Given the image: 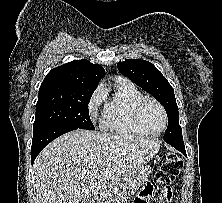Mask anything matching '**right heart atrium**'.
Segmentation results:
<instances>
[{
	"label": "right heart atrium",
	"instance_id": "d8ad5b80",
	"mask_svg": "<svg viewBox=\"0 0 222 203\" xmlns=\"http://www.w3.org/2000/svg\"><path fill=\"white\" fill-rule=\"evenodd\" d=\"M105 100V91L102 88H98L92 95L89 102V112L93 118L98 115L99 108Z\"/></svg>",
	"mask_w": 222,
	"mask_h": 203
}]
</instances>
